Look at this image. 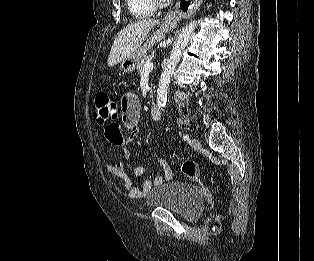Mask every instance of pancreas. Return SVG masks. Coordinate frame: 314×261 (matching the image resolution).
I'll use <instances>...</instances> for the list:
<instances>
[{
    "label": "pancreas",
    "mask_w": 314,
    "mask_h": 261,
    "mask_svg": "<svg viewBox=\"0 0 314 261\" xmlns=\"http://www.w3.org/2000/svg\"><path fill=\"white\" fill-rule=\"evenodd\" d=\"M141 50L144 52V55H143V57L140 59L138 65H137L138 73H139L140 75H142L143 72H144V65H145V63H146L147 61H151L152 58H153V53H152V54H148V53H147L148 51H150V47L147 45V43L142 46ZM151 86H152V85H151ZM149 97H150V98L153 97L152 88H151V90H150V96H149Z\"/></svg>",
    "instance_id": "obj_1"
}]
</instances>
